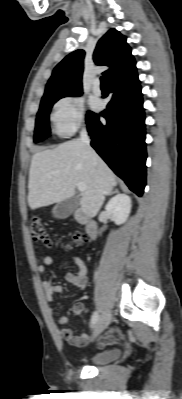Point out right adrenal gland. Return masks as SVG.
I'll return each mask as SVG.
<instances>
[{
	"instance_id": "right-adrenal-gland-1",
	"label": "right adrenal gland",
	"mask_w": 182,
	"mask_h": 399,
	"mask_svg": "<svg viewBox=\"0 0 182 399\" xmlns=\"http://www.w3.org/2000/svg\"><path fill=\"white\" fill-rule=\"evenodd\" d=\"M114 193H118V190L115 189V191L110 192V193L108 194V196H110V195H112V194H114Z\"/></svg>"
}]
</instances>
